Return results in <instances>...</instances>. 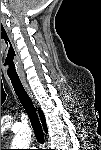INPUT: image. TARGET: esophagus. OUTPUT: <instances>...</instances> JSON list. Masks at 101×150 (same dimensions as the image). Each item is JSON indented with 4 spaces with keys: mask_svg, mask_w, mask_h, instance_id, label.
Here are the masks:
<instances>
[{
    "mask_svg": "<svg viewBox=\"0 0 101 150\" xmlns=\"http://www.w3.org/2000/svg\"><path fill=\"white\" fill-rule=\"evenodd\" d=\"M23 84H24V87L27 90L28 94L30 95V97L33 98V95H32V93H31V91H30V89H29V87H28L25 80H23Z\"/></svg>",
    "mask_w": 101,
    "mask_h": 150,
    "instance_id": "obj_1",
    "label": "esophagus"
}]
</instances>
